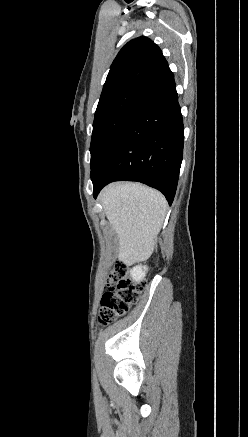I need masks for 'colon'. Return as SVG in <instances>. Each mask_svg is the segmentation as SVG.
<instances>
[{
	"mask_svg": "<svg viewBox=\"0 0 248 437\" xmlns=\"http://www.w3.org/2000/svg\"><path fill=\"white\" fill-rule=\"evenodd\" d=\"M143 290L142 283L130 278L128 264H116L109 274L101 299L99 323L106 326L125 315L138 302Z\"/></svg>",
	"mask_w": 248,
	"mask_h": 437,
	"instance_id": "1",
	"label": "colon"
}]
</instances>
